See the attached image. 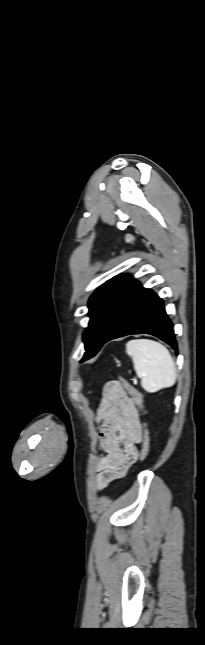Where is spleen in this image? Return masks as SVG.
I'll list each match as a JSON object with an SVG mask.
<instances>
[{"label":"spleen","instance_id":"obj_1","mask_svg":"<svg viewBox=\"0 0 205 645\" xmlns=\"http://www.w3.org/2000/svg\"><path fill=\"white\" fill-rule=\"evenodd\" d=\"M126 353L132 358L141 386L149 393L172 387L177 378L176 366L168 349L149 339L130 340Z\"/></svg>","mask_w":205,"mask_h":645}]
</instances>
